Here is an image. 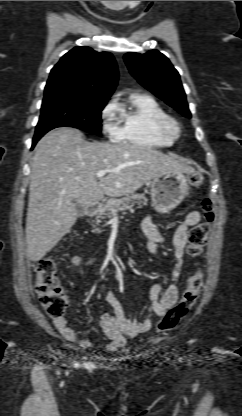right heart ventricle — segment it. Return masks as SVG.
<instances>
[{"mask_svg":"<svg viewBox=\"0 0 242 416\" xmlns=\"http://www.w3.org/2000/svg\"><path fill=\"white\" fill-rule=\"evenodd\" d=\"M121 127L115 137L118 142L160 148L171 146L175 139L160 128L167 117L164 108L150 95L132 93L124 103L117 104Z\"/></svg>","mask_w":242,"mask_h":416,"instance_id":"right-heart-ventricle-1","label":"right heart ventricle"}]
</instances>
